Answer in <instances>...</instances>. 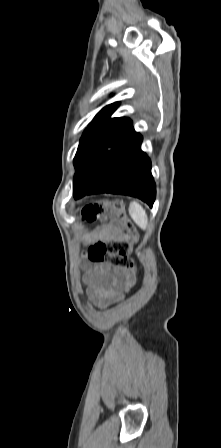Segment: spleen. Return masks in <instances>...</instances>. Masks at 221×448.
I'll return each instance as SVG.
<instances>
[{"instance_id": "obj_1", "label": "spleen", "mask_w": 221, "mask_h": 448, "mask_svg": "<svg viewBox=\"0 0 221 448\" xmlns=\"http://www.w3.org/2000/svg\"><path fill=\"white\" fill-rule=\"evenodd\" d=\"M129 214L133 221L143 230L147 229L148 217L143 207L136 201H132L129 205Z\"/></svg>"}]
</instances>
